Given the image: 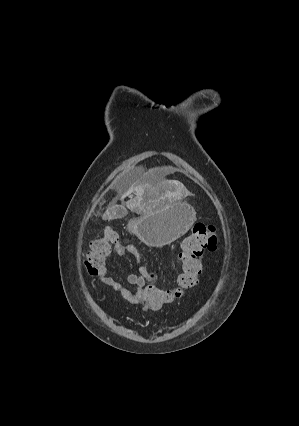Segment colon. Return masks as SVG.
I'll list each match as a JSON object with an SVG mask.
<instances>
[{
  "instance_id": "1",
  "label": "colon",
  "mask_w": 299,
  "mask_h": 426,
  "mask_svg": "<svg viewBox=\"0 0 299 426\" xmlns=\"http://www.w3.org/2000/svg\"><path fill=\"white\" fill-rule=\"evenodd\" d=\"M121 243L119 233L111 227H105L102 236L93 240L87 253L84 264L90 275L96 276L105 266L107 257L113 247ZM218 249V236L213 225L196 223L190 234L180 243L179 259L181 273L177 284L172 288L162 287L158 280L148 281L144 286L145 302L152 310H157L183 297L185 292L195 287L201 273L199 258L205 252H214Z\"/></svg>"
}]
</instances>
